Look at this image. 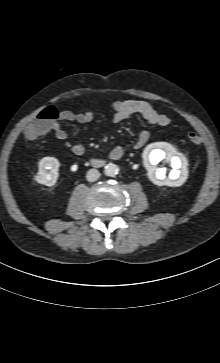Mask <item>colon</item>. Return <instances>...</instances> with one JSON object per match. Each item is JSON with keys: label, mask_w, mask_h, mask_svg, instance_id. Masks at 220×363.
Returning a JSON list of instances; mask_svg holds the SVG:
<instances>
[{"label": "colon", "mask_w": 220, "mask_h": 363, "mask_svg": "<svg viewBox=\"0 0 220 363\" xmlns=\"http://www.w3.org/2000/svg\"><path fill=\"white\" fill-rule=\"evenodd\" d=\"M58 118L59 112L54 106L44 107L39 111L38 115L25 126V136L29 139L38 138L39 136L47 133ZM189 140L195 145L202 143V138L196 133H190Z\"/></svg>", "instance_id": "1"}]
</instances>
